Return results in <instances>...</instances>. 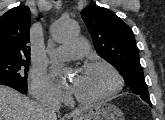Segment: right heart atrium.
<instances>
[{"mask_svg":"<svg viewBox=\"0 0 165 120\" xmlns=\"http://www.w3.org/2000/svg\"><path fill=\"white\" fill-rule=\"evenodd\" d=\"M30 91L41 101L60 102L64 99L61 89L40 70H35L31 74Z\"/></svg>","mask_w":165,"mask_h":120,"instance_id":"right-heart-atrium-1","label":"right heart atrium"}]
</instances>
